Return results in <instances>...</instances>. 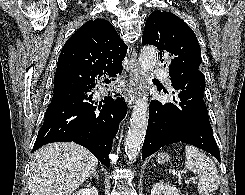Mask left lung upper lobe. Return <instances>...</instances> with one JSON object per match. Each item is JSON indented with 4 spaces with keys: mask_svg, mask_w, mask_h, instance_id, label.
<instances>
[{
    "mask_svg": "<svg viewBox=\"0 0 245 195\" xmlns=\"http://www.w3.org/2000/svg\"><path fill=\"white\" fill-rule=\"evenodd\" d=\"M142 43L152 44L160 49V55L171 57L168 67L174 89L204 95L205 79L199 70L202 63L200 46L192 29L178 16L166 11L151 13Z\"/></svg>",
    "mask_w": 245,
    "mask_h": 195,
    "instance_id": "obj_1",
    "label": "left lung upper lobe"
}]
</instances>
